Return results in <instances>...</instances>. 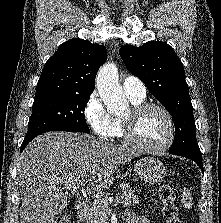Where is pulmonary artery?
<instances>
[{
	"mask_svg": "<svg viewBox=\"0 0 221 223\" xmlns=\"http://www.w3.org/2000/svg\"><path fill=\"white\" fill-rule=\"evenodd\" d=\"M125 94L132 99H142L146 96V87L137 77L128 76L122 82Z\"/></svg>",
	"mask_w": 221,
	"mask_h": 223,
	"instance_id": "pulmonary-artery-1",
	"label": "pulmonary artery"
}]
</instances>
